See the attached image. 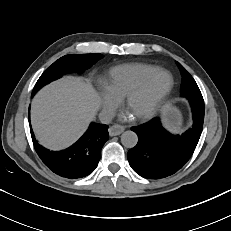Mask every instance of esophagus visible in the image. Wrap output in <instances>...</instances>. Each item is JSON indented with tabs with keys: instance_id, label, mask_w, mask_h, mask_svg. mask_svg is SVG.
Returning <instances> with one entry per match:
<instances>
[{
	"instance_id": "esophagus-1",
	"label": "esophagus",
	"mask_w": 231,
	"mask_h": 231,
	"mask_svg": "<svg viewBox=\"0 0 231 231\" xmlns=\"http://www.w3.org/2000/svg\"><path fill=\"white\" fill-rule=\"evenodd\" d=\"M125 130V127L122 125H113L109 128V135L110 136H117L120 135Z\"/></svg>"
}]
</instances>
